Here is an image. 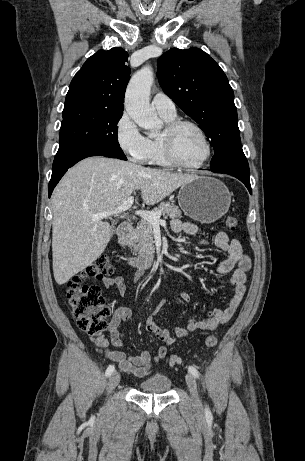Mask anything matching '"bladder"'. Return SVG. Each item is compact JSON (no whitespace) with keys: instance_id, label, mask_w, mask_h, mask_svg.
<instances>
[{"instance_id":"bladder-1","label":"bladder","mask_w":305,"mask_h":461,"mask_svg":"<svg viewBox=\"0 0 305 461\" xmlns=\"http://www.w3.org/2000/svg\"><path fill=\"white\" fill-rule=\"evenodd\" d=\"M171 379L165 374H156L139 382L138 388L143 393L161 394L170 390Z\"/></svg>"}]
</instances>
